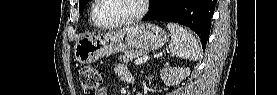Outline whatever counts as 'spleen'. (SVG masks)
<instances>
[{"label": "spleen", "instance_id": "3e777b00", "mask_svg": "<svg viewBox=\"0 0 277 95\" xmlns=\"http://www.w3.org/2000/svg\"><path fill=\"white\" fill-rule=\"evenodd\" d=\"M167 28L171 34L168 49L172 55L187 60H198L200 58L198 42L187 29L173 23H169Z\"/></svg>", "mask_w": 277, "mask_h": 95}]
</instances>
